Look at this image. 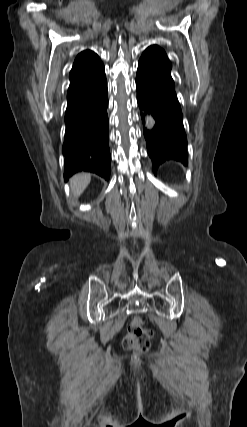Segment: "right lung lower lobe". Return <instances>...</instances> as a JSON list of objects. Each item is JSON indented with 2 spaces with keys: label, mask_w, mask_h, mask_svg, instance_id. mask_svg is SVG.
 <instances>
[{
  "label": "right lung lower lobe",
  "mask_w": 247,
  "mask_h": 427,
  "mask_svg": "<svg viewBox=\"0 0 247 427\" xmlns=\"http://www.w3.org/2000/svg\"><path fill=\"white\" fill-rule=\"evenodd\" d=\"M67 100L62 147L65 180L80 171L93 172L109 180L111 156L104 67L88 78L71 84Z\"/></svg>",
  "instance_id": "obj_1"
}]
</instances>
